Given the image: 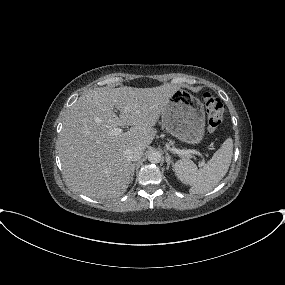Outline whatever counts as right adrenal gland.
<instances>
[{
	"instance_id": "obj_1",
	"label": "right adrenal gland",
	"mask_w": 285,
	"mask_h": 285,
	"mask_svg": "<svg viewBox=\"0 0 285 285\" xmlns=\"http://www.w3.org/2000/svg\"><path fill=\"white\" fill-rule=\"evenodd\" d=\"M135 165H136V163H133V164H132V170H131L130 182H132V181H133V176H134V171H135Z\"/></svg>"
}]
</instances>
